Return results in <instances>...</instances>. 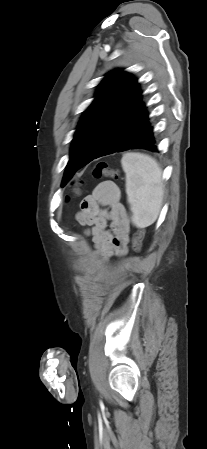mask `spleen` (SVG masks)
I'll return each instance as SVG.
<instances>
[{
    "instance_id": "spleen-1",
    "label": "spleen",
    "mask_w": 207,
    "mask_h": 449,
    "mask_svg": "<svg viewBox=\"0 0 207 449\" xmlns=\"http://www.w3.org/2000/svg\"><path fill=\"white\" fill-rule=\"evenodd\" d=\"M125 172L127 200L132 223L138 228L152 225L161 210L164 186L158 162L142 153H126L121 160Z\"/></svg>"
}]
</instances>
